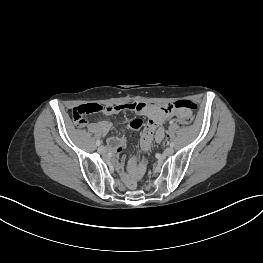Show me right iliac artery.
Returning a JSON list of instances; mask_svg holds the SVG:
<instances>
[{"mask_svg":"<svg viewBox=\"0 0 263 263\" xmlns=\"http://www.w3.org/2000/svg\"><path fill=\"white\" fill-rule=\"evenodd\" d=\"M101 144V141L100 140H97L96 141V145L99 146Z\"/></svg>","mask_w":263,"mask_h":263,"instance_id":"right-iliac-artery-1","label":"right iliac artery"}]
</instances>
